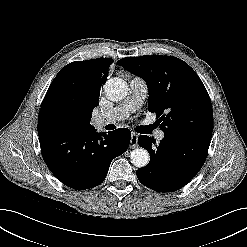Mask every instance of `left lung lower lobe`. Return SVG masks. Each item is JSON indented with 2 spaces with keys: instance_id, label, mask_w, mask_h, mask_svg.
<instances>
[{
  "instance_id": "1",
  "label": "left lung lower lobe",
  "mask_w": 247,
  "mask_h": 247,
  "mask_svg": "<svg viewBox=\"0 0 247 247\" xmlns=\"http://www.w3.org/2000/svg\"><path fill=\"white\" fill-rule=\"evenodd\" d=\"M138 143L150 154L148 165L136 172L139 181L157 192H173L202 168L210 141L165 134L156 148V141L146 135H141Z\"/></svg>"
}]
</instances>
